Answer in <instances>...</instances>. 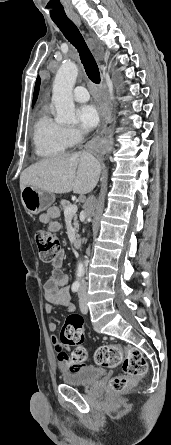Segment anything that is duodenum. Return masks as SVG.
<instances>
[{"label":"duodenum","instance_id":"1","mask_svg":"<svg viewBox=\"0 0 171 445\" xmlns=\"http://www.w3.org/2000/svg\"><path fill=\"white\" fill-rule=\"evenodd\" d=\"M81 245H82V240L80 238H76L73 242V247L75 249H80Z\"/></svg>","mask_w":171,"mask_h":445}]
</instances>
